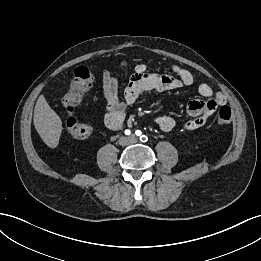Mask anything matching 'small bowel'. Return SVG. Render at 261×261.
<instances>
[{
  "label": "small bowel",
  "mask_w": 261,
  "mask_h": 261,
  "mask_svg": "<svg viewBox=\"0 0 261 261\" xmlns=\"http://www.w3.org/2000/svg\"><path fill=\"white\" fill-rule=\"evenodd\" d=\"M160 65H157L159 67ZM172 72L161 74L148 72L146 64H138L134 68V74L122 91L123 99L119 97L118 79L110 70L102 75L103 93L106 101L105 124L110 130H118L125 119V108L133 104L141 95L148 92H163L181 87L194 85L193 75L177 64L170 66ZM201 99H194L187 106L189 119L183 124L184 129L192 131L204 126L214 111L226 103L224 94L214 92L206 83L197 87ZM84 92L80 93L79 100ZM155 123L162 131H170L177 125L175 118L169 115H159Z\"/></svg>",
  "instance_id": "obj_1"
}]
</instances>
